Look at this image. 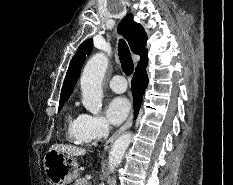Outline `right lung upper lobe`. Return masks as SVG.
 <instances>
[{
  "instance_id": "1",
  "label": "right lung upper lobe",
  "mask_w": 233,
  "mask_h": 185,
  "mask_svg": "<svg viewBox=\"0 0 233 185\" xmlns=\"http://www.w3.org/2000/svg\"><path fill=\"white\" fill-rule=\"evenodd\" d=\"M118 31L127 39L132 52L140 55L141 61L138 63L137 68L146 66L148 62V50L145 49L147 36L143 27L134 21L131 13L127 14V16L121 21ZM92 47V39L86 40L80 45L76 54L72 58L62 87L60 102L67 101L72 93L75 83L79 77L82 64L86 59V56L92 51Z\"/></svg>"
}]
</instances>
